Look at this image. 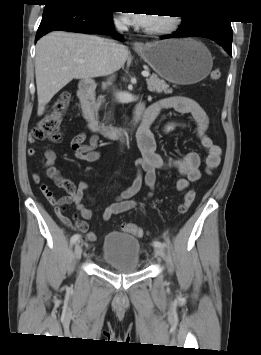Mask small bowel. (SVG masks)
Instances as JSON below:
<instances>
[{"instance_id":"small-bowel-1","label":"small bowel","mask_w":261,"mask_h":355,"mask_svg":"<svg viewBox=\"0 0 261 355\" xmlns=\"http://www.w3.org/2000/svg\"><path fill=\"white\" fill-rule=\"evenodd\" d=\"M173 109L176 112L184 115H190L195 122L194 133L201 142V145L206 151L204 160V168L207 173H211L216 169L221 161L222 150L220 146L215 144L207 134L209 126V118L204 109L193 99L184 96H172L145 108L142 104V115L152 123L161 111ZM136 112L138 110L136 109ZM188 127L187 123L180 121H170L162 128L163 134H169L182 128ZM87 135L85 132L79 133L71 141V149L74 156L78 160L87 162L97 161L100 153L96 150L98 138L91 137L88 144H85ZM138 146L142 157L136 161L137 175L132 184L117 195L114 201L108 205L103 212V219L108 221L113 216L127 212L136 207L137 202L131 198L136 195L145 184L151 190L156 184V171L161 169H175L181 175L175 182L176 188L179 191L186 190L191 182L198 181L201 178V160L196 152H187L181 157L164 158L156 151V138L150 128H144L137 133ZM34 141L33 137H29V142ZM36 150L29 148L27 154L35 155ZM56 154L53 150L45 152L46 174L57 187L61 188L66 194L59 199L53 197V193L45 183L41 182V176L37 172L32 173V180L39 184L43 195L53 204L57 206L56 215L59 220L68 228L78 230L86 235L89 241L96 240V234L89 229L87 220L91 219L92 211L87 208L82 200L88 197V185L86 183L74 184L69 179L62 177L58 168L54 166ZM48 191L49 196L45 194ZM152 196V192L149 193ZM74 204L79 216L74 215L72 219L63 213V207Z\"/></svg>"}]
</instances>
